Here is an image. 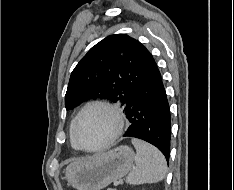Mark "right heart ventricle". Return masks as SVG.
<instances>
[{"label": "right heart ventricle", "instance_id": "right-heart-ventricle-1", "mask_svg": "<svg viewBox=\"0 0 234 190\" xmlns=\"http://www.w3.org/2000/svg\"><path fill=\"white\" fill-rule=\"evenodd\" d=\"M73 124V123H72ZM72 124H71V128H72ZM71 142H72V140H71ZM72 145L76 148V146L74 145V143L72 142Z\"/></svg>", "mask_w": 234, "mask_h": 190}]
</instances>
